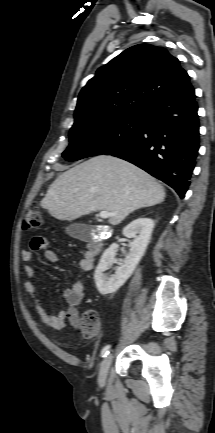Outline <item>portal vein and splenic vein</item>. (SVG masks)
Returning a JSON list of instances; mask_svg holds the SVG:
<instances>
[{
	"mask_svg": "<svg viewBox=\"0 0 215 433\" xmlns=\"http://www.w3.org/2000/svg\"><path fill=\"white\" fill-rule=\"evenodd\" d=\"M114 214H112V213H110V212H108V211H101L100 213H99V216L101 217V218H103V219H106V218H109V217H111V216H113Z\"/></svg>",
	"mask_w": 215,
	"mask_h": 433,
	"instance_id": "obj_1",
	"label": "portal vein and splenic vein"
}]
</instances>
